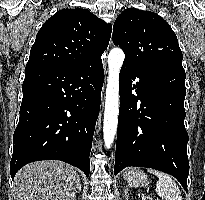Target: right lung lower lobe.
<instances>
[{"label": "right lung lower lobe", "instance_id": "1", "mask_svg": "<svg viewBox=\"0 0 205 200\" xmlns=\"http://www.w3.org/2000/svg\"><path fill=\"white\" fill-rule=\"evenodd\" d=\"M104 81L102 60L75 67L27 66L13 136L12 179L24 165L61 160L89 176Z\"/></svg>", "mask_w": 205, "mask_h": 200}]
</instances>
